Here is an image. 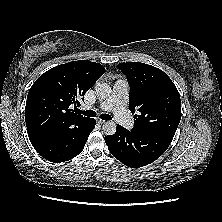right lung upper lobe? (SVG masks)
I'll return each mask as SVG.
<instances>
[{"mask_svg":"<svg viewBox=\"0 0 222 222\" xmlns=\"http://www.w3.org/2000/svg\"><path fill=\"white\" fill-rule=\"evenodd\" d=\"M105 73V68L89 60L56 66L42 74L28 92L25 121L32 144L58 132L80 128L90 118L74 113L80 99Z\"/></svg>","mask_w":222,"mask_h":222,"instance_id":"1","label":"right lung upper lobe"}]
</instances>
